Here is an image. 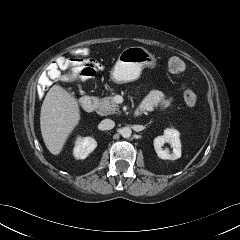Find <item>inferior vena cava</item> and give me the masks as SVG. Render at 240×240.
<instances>
[{
    "instance_id": "obj_1",
    "label": "inferior vena cava",
    "mask_w": 240,
    "mask_h": 240,
    "mask_svg": "<svg viewBox=\"0 0 240 240\" xmlns=\"http://www.w3.org/2000/svg\"><path fill=\"white\" fill-rule=\"evenodd\" d=\"M115 126V123L111 119H104L100 123V127L102 130H110L113 129Z\"/></svg>"
}]
</instances>
